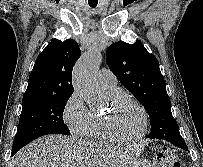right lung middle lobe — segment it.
Instances as JSON below:
<instances>
[{
	"mask_svg": "<svg viewBox=\"0 0 203 167\" xmlns=\"http://www.w3.org/2000/svg\"><path fill=\"white\" fill-rule=\"evenodd\" d=\"M69 98L70 96H59L22 101V112L12 147V155L43 135H70L62 117Z\"/></svg>",
	"mask_w": 203,
	"mask_h": 167,
	"instance_id": "obj_1",
	"label": "right lung middle lobe"
}]
</instances>
